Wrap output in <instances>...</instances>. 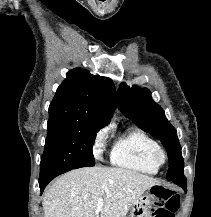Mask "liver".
Returning <instances> with one entry per match:
<instances>
[{
    "instance_id": "6515ba94",
    "label": "liver",
    "mask_w": 211,
    "mask_h": 217,
    "mask_svg": "<svg viewBox=\"0 0 211 217\" xmlns=\"http://www.w3.org/2000/svg\"><path fill=\"white\" fill-rule=\"evenodd\" d=\"M155 179L123 168L84 167L71 170L46 191L44 217H126ZM103 207L97 210L98 200Z\"/></svg>"
}]
</instances>
